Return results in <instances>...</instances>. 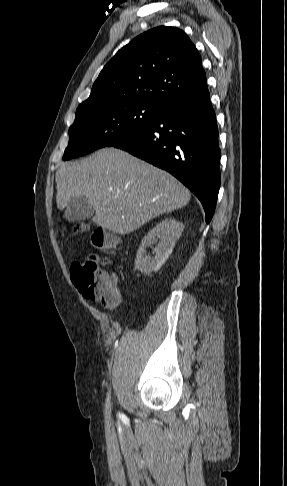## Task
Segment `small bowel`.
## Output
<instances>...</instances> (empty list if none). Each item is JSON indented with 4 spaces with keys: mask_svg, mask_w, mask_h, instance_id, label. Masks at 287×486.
Here are the masks:
<instances>
[{
    "mask_svg": "<svg viewBox=\"0 0 287 486\" xmlns=\"http://www.w3.org/2000/svg\"><path fill=\"white\" fill-rule=\"evenodd\" d=\"M112 280H113V283H114L115 287L118 289V291L120 292L121 297H122L123 290H122L121 286L118 283V278L115 275H112Z\"/></svg>",
    "mask_w": 287,
    "mask_h": 486,
    "instance_id": "obj_1",
    "label": "small bowel"
}]
</instances>
